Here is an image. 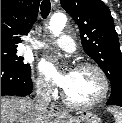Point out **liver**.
Segmentation results:
<instances>
[{
  "label": "liver",
  "mask_w": 122,
  "mask_h": 123,
  "mask_svg": "<svg viewBox=\"0 0 122 123\" xmlns=\"http://www.w3.org/2000/svg\"><path fill=\"white\" fill-rule=\"evenodd\" d=\"M50 115L38 116L28 97H1V123H48Z\"/></svg>",
  "instance_id": "6515ba94"
}]
</instances>
